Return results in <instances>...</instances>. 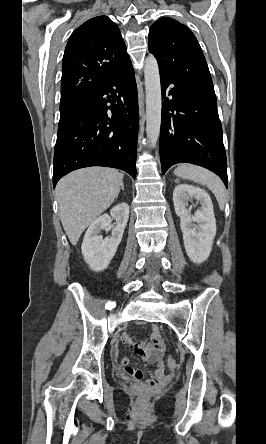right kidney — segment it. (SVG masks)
Returning a JSON list of instances; mask_svg holds the SVG:
<instances>
[{"instance_id": "ca27d5eb", "label": "right kidney", "mask_w": 266, "mask_h": 444, "mask_svg": "<svg viewBox=\"0 0 266 444\" xmlns=\"http://www.w3.org/2000/svg\"><path fill=\"white\" fill-rule=\"evenodd\" d=\"M111 217L116 220V226L112 229V236L103 239L99 235L100 231L111 228ZM128 217V204L120 203L111 209L110 215L103 214L90 224L81 249L84 260L91 270L98 272L108 267L122 240Z\"/></svg>"}]
</instances>
